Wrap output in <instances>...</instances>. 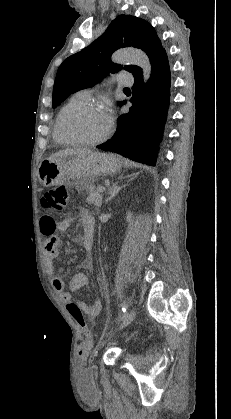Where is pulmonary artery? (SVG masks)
Masks as SVG:
<instances>
[{
  "label": "pulmonary artery",
  "mask_w": 231,
  "mask_h": 419,
  "mask_svg": "<svg viewBox=\"0 0 231 419\" xmlns=\"http://www.w3.org/2000/svg\"><path fill=\"white\" fill-rule=\"evenodd\" d=\"M115 81H117L120 85L124 86H131L133 84V79L130 75L126 74H119L116 76ZM94 89L92 88H86L80 91V93L87 99L90 98L92 95Z\"/></svg>",
  "instance_id": "e3ab8cb5"
}]
</instances>
